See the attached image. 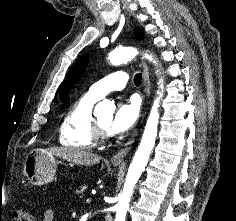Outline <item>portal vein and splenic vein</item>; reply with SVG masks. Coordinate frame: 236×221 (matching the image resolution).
<instances>
[{"label":"portal vein and splenic vein","instance_id":"portal-vein-and-splenic-vein-1","mask_svg":"<svg viewBox=\"0 0 236 221\" xmlns=\"http://www.w3.org/2000/svg\"><path fill=\"white\" fill-rule=\"evenodd\" d=\"M91 201H92L91 198H87V199H86V202H87V203H90Z\"/></svg>","mask_w":236,"mask_h":221}]
</instances>
